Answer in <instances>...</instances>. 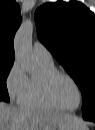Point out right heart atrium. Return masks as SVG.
I'll return each mask as SVG.
<instances>
[{
  "label": "right heart atrium",
  "mask_w": 95,
  "mask_h": 130,
  "mask_svg": "<svg viewBox=\"0 0 95 130\" xmlns=\"http://www.w3.org/2000/svg\"><path fill=\"white\" fill-rule=\"evenodd\" d=\"M29 78L18 61H15L9 69L5 87L10 99L17 104H22L27 88Z\"/></svg>",
  "instance_id": "obj_1"
}]
</instances>
